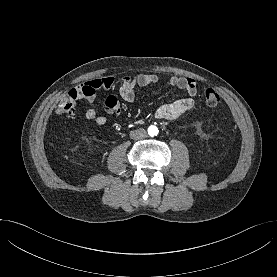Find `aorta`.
Listing matches in <instances>:
<instances>
[{"mask_svg":"<svg viewBox=\"0 0 277 277\" xmlns=\"http://www.w3.org/2000/svg\"><path fill=\"white\" fill-rule=\"evenodd\" d=\"M158 133H159V130H158V128L156 126H150L148 128V134L150 136H156Z\"/></svg>","mask_w":277,"mask_h":277,"instance_id":"obj_1","label":"aorta"}]
</instances>
